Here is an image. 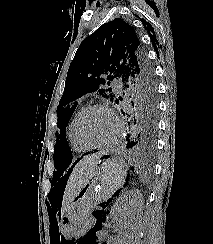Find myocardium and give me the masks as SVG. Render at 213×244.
<instances>
[{"label":"myocardium","mask_w":213,"mask_h":244,"mask_svg":"<svg viewBox=\"0 0 213 244\" xmlns=\"http://www.w3.org/2000/svg\"><path fill=\"white\" fill-rule=\"evenodd\" d=\"M92 110H104L105 112H107L111 116L112 120L114 121V124H115L114 133L108 140H106L104 142H99V143L90 142L83 136V134L81 132L82 122H83L85 116ZM120 132H121V122H120L119 118L117 117L115 112L108 105L102 104V103L91 104V105H88L87 107H85L81 111V113L78 116L76 123H75L76 137L78 138V140L83 145H85L89 149L109 147L110 145H112L117 140Z\"/></svg>","instance_id":"myocardium-1"}]
</instances>
